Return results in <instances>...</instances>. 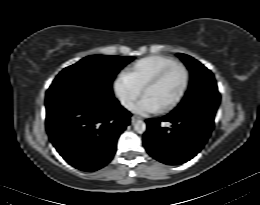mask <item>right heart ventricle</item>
I'll return each mask as SVG.
<instances>
[{"label":"right heart ventricle","mask_w":260,"mask_h":205,"mask_svg":"<svg viewBox=\"0 0 260 205\" xmlns=\"http://www.w3.org/2000/svg\"><path fill=\"white\" fill-rule=\"evenodd\" d=\"M177 63L176 60L166 56H149L139 60L132 69L126 73L125 77L139 89L159 71L165 67Z\"/></svg>","instance_id":"e07e8e85"}]
</instances>
